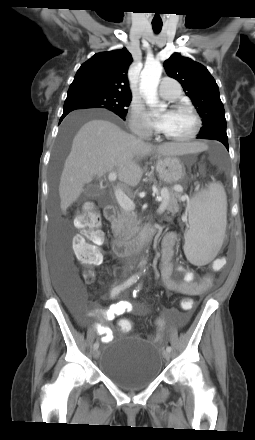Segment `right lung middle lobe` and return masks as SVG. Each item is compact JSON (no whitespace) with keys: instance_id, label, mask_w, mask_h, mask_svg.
<instances>
[{"instance_id":"1","label":"right lung middle lobe","mask_w":255,"mask_h":440,"mask_svg":"<svg viewBox=\"0 0 255 440\" xmlns=\"http://www.w3.org/2000/svg\"><path fill=\"white\" fill-rule=\"evenodd\" d=\"M131 102V96L108 94L101 92H88L67 96L64 103L65 109L105 108L122 119L127 113L126 107Z\"/></svg>"}]
</instances>
